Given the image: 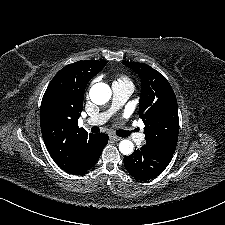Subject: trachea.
<instances>
[{"label":"trachea","mask_w":225,"mask_h":225,"mask_svg":"<svg viewBox=\"0 0 225 225\" xmlns=\"http://www.w3.org/2000/svg\"><path fill=\"white\" fill-rule=\"evenodd\" d=\"M91 131L94 132V133H97V132H99V129L97 127H92ZM116 134L119 137H128L129 136V134L126 131H123V130L117 131Z\"/></svg>","instance_id":"3493384b"}]
</instances>
